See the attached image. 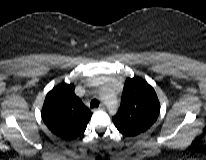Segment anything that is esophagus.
Instances as JSON below:
<instances>
[{
    "label": "esophagus",
    "mask_w": 206,
    "mask_h": 160,
    "mask_svg": "<svg viewBox=\"0 0 206 160\" xmlns=\"http://www.w3.org/2000/svg\"><path fill=\"white\" fill-rule=\"evenodd\" d=\"M95 110H105V105L102 103L98 108Z\"/></svg>",
    "instance_id": "esophagus-1"
}]
</instances>
